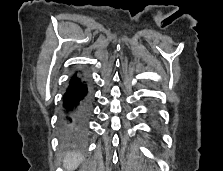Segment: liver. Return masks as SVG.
<instances>
[{
	"instance_id": "1",
	"label": "liver",
	"mask_w": 223,
	"mask_h": 171,
	"mask_svg": "<svg viewBox=\"0 0 223 171\" xmlns=\"http://www.w3.org/2000/svg\"><path fill=\"white\" fill-rule=\"evenodd\" d=\"M83 156L78 153H68L63 160V166L67 171H74L83 161Z\"/></svg>"
}]
</instances>
